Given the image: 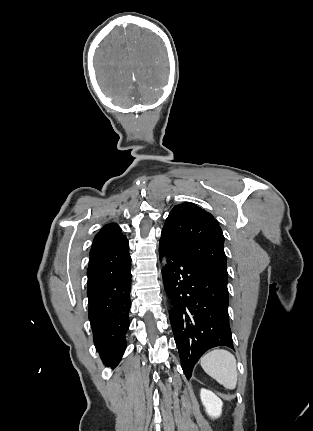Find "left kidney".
<instances>
[{
    "mask_svg": "<svg viewBox=\"0 0 313 431\" xmlns=\"http://www.w3.org/2000/svg\"><path fill=\"white\" fill-rule=\"evenodd\" d=\"M200 398L207 414L212 418H218L222 413V400L210 390L201 389Z\"/></svg>",
    "mask_w": 313,
    "mask_h": 431,
    "instance_id": "obj_1",
    "label": "left kidney"
}]
</instances>
